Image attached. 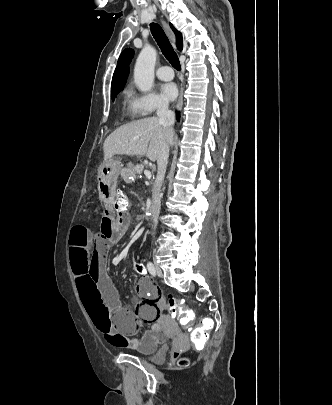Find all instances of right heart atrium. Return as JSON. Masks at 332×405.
<instances>
[{
  "mask_svg": "<svg viewBox=\"0 0 332 405\" xmlns=\"http://www.w3.org/2000/svg\"><path fill=\"white\" fill-rule=\"evenodd\" d=\"M132 105L138 116L146 117L167 109L168 103L154 92L136 94L132 98Z\"/></svg>",
  "mask_w": 332,
  "mask_h": 405,
  "instance_id": "d8ad5b80",
  "label": "right heart atrium"
}]
</instances>
